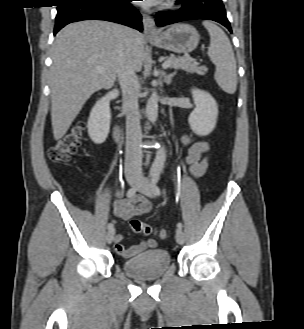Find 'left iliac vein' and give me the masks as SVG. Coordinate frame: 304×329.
<instances>
[{"label": "left iliac vein", "instance_id": "obj_1", "mask_svg": "<svg viewBox=\"0 0 304 329\" xmlns=\"http://www.w3.org/2000/svg\"><path fill=\"white\" fill-rule=\"evenodd\" d=\"M138 191L151 198L154 196L151 184L147 179L144 178H142L139 182ZM175 238L177 243L180 245H182L185 242V234L182 231V229L178 228L176 230Z\"/></svg>", "mask_w": 304, "mask_h": 329}]
</instances>
